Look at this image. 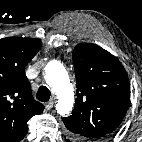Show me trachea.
I'll list each match as a JSON object with an SVG mask.
<instances>
[{"instance_id": "3493384b", "label": "trachea", "mask_w": 142, "mask_h": 142, "mask_svg": "<svg viewBox=\"0 0 142 142\" xmlns=\"http://www.w3.org/2000/svg\"><path fill=\"white\" fill-rule=\"evenodd\" d=\"M51 93L46 86H40L36 98L41 102H47L50 99Z\"/></svg>"}]
</instances>
